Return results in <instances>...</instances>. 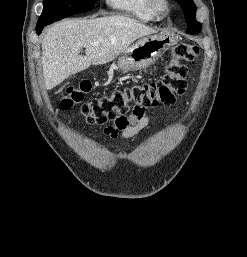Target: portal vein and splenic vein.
<instances>
[{"instance_id": "obj_1", "label": "portal vein and splenic vein", "mask_w": 247, "mask_h": 257, "mask_svg": "<svg viewBox=\"0 0 247 257\" xmlns=\"http://www.w3.org/2000/svg\"><path fill=\"white\" fill-rule=\"evenodd\" d=\"M91 45L96 46L97 44L96 43H92Z\"/></svg>"}]
</instances>
